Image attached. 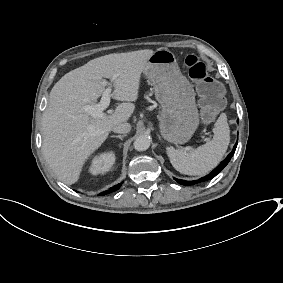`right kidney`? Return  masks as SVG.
Returning a JSON list of instances; mask_svg holds the SVG:
<instances>
[{
  "label": "right kidney",
  "mask_w": 283,
  "mask_h": 283,
  "mask_svg": "<svg viewBox=\"0 0 283 283\" xmlns=\"http://www.w3.org/2000/svg\"><path fill=\"white\" fill-rule=\"evenodd\" d=\"M115 161L114 154L106 153L99 157H96L92 162L91 173L98 174L101 172H105L111 168Z\"/></svg>",
  "instance_id": "right-kidney-1"
}]
</instances>
